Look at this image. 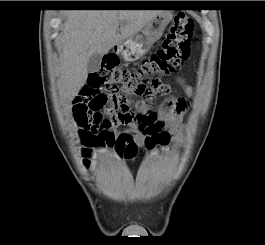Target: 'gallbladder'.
<instances>
[{
  "instance_id": "bac80fb5",
  "label": "gallbladder",
  "mask_w": 265,
  "mask_h": 245,
  "mask_svg": "<svg viewBox=\"0 0 265 245\" xmlns=\"http://www.w3.org/2000/svg\"><path fill=\"white\" fill-rule=\"evenodd\" d=\"M102 61V55L98 53H94L89 57L88 63H87V71L88 73H94L96 72L101 64Z\"/></svg>"
}]
</instances>
